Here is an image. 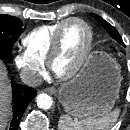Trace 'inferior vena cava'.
Segmentation results:
<instances>
[{
	"label": "inferior vena cava",
	"instance_id": "inferior-vena-cava-1",
	"mask_svg": "<svg viewBox=\"0 0 130 130\" xmlns=\"http://www.w3.org/2000/svg\"><path fill=\"white\" fill-rule=\"evenodd\" d=\"M21 79L23 83L32 87L38 86L42 83L41 76L38 73L28 69L21 72Z\"/></svg>",
	"mask_w": 130,
	"mask_h": 130
}]
</instances>
